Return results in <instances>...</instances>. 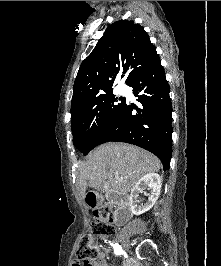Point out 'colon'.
Instances as JSON below:
<instances>
[{
  "label": "colon",
  "mask_w": 221,
  "mask_h": 266,
  "mask_svg": "<svg viewBox=\"0 0 221 266\" xmlns=\"http://www.w3.org/2000/svg\"><path fill=\"white\" fill-rule=\"evenodd\" d=\"M95 218L91 223V233L82 237L77 249V257L89 262L98 256L96 237H108L114 233V227L109 224L112 208L105 204L94 211Z\"/></svg>",
  "instance_id": "colon-1"
}]
</instances>
